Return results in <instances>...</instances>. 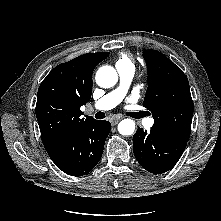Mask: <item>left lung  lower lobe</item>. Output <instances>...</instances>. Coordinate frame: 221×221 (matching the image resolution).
I'll use <instances>...</instances> for the list:
<instances>
[{
	"instance_id": "obj_1",
	"label": "left lung lower lobe",
	"mask_w": 221,
	"mask_h": 221,
	"mask_svg": "<svg viewBox=\"0 0 221 221\" xmlns=\"http://www.w3.org/2000/svg\"><path fill=\"white\" fill-rule=\"evenodd\" d=\"M187 143L167 138L155 130L144 131L138 127L133 136V152L139 164L147 171L164 173L178 162Z\"/></svg>"
}]
</instances>
